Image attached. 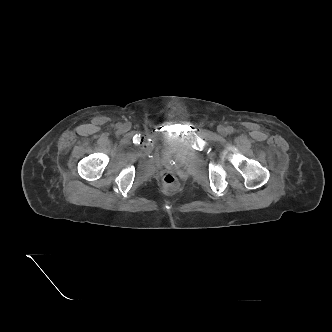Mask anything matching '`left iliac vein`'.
<instances>
[{"label": "left iliac vein", "instance_id": "1", "mask_svg": "<svg viewBox=\"0 0 332 332\" xmlns=\"http://www.w3.org/2000/svg\"><path fill=\"white\" fill-rule=\"evenodd\" d=\"M218 132L221 135H226L227 134V129L224 126L220 125V126H218Z\"/></svg>", "mask_w": 332, "mask_h": 332}]
</instances>
